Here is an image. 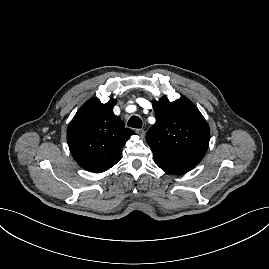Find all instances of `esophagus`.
<instances>
[{"label":"esophagus","mask_w":269,"mask_h":269,"mask_svg":"<svg viewBox=\"0 0 269 269\" xmlns=\"http://www.w3.org/2000/svg\"><path fill=\"white\" fill-rule=\"evenodd\" d=\"M136 133H137L141 138H144V136H145V131H144V129H137V130H136Z\"/></svg>","instance_id":"obj_1"}]
</instances>
